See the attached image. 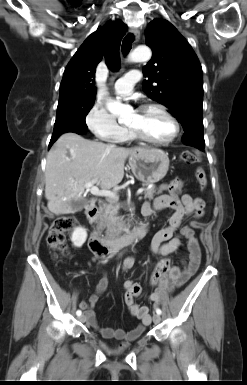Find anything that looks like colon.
<instances>
[{
    "instance_id": "1",
    "label": "colon",
    "mask_w": 247,
    "mask_h": 385,
    "mask_svg": "<svg viewBox=\"0 0 247 385\" xmlns=\"http://www.w3.org/2000/svg\"><path fill=\"white\" fill-rule=\"evenodd\" d=\"M181 161L186 164H194L198 161V157L195 153L191 151H183L181 153ZM196 179L199 183V186L201 189H204L207 185V178L205 172L198 168L195 172ZM76 224V219L72 216H63L57 218L47 236V243L48 245L58 254L61 256H65L68 253V249L66 246V233L71 231ZM169 262L168 261H162L159 263L156 267V273L158 274H165L169 270ZM130 289L137 293L138 289L137 287L132 284L130 285Z\"/></svg>"
}]
</instances>
